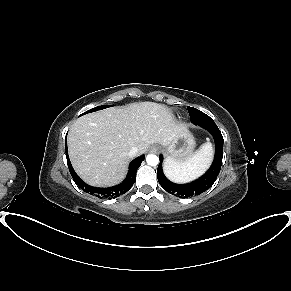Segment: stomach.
Returning <instances> with one entry per match:
<instances>
[{
  "label": "stomach",
  "instance_id": "stomach-1",
  "mask_svg": "<svg viewBox=\"0 0 291 291\" xmlns=\"http://www.w3.org/2000/svg\"><path fill=\"white\" fill-rule=\"evenodd\" d=\"M194 146L195 142L192 135L185 131L177 136L170 145L165 147V152L168 158L184 161L191 155Z\"/></svg>",
  "mask_w": 291,
  "mask_h": 291
}]
</instances>
